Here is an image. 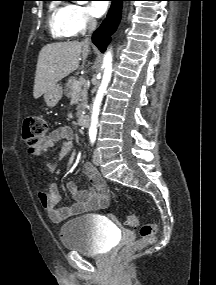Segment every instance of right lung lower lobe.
Returning <instances> with one entry per match:
<instances>
[{
	"label": "right lung lower lobe",
	"instance_id": "right-lung-lower-lobe-1",
	"mask_svg": "<svg viewBox=\"0 0 216 285\" xmlns=\"http://www.w3.org/2000/svg\"><path fill=\"white\" fill-rule=\"evenodd\" d=\"M112 5L107 15V18L103 21L100 28L97 29L93 36L92 41L98 47L101 52L106 50L108 43L111 40V34L116 30L120 18L122 2L126 0H111Z\"/></svg>",
	"mask_w": 216,
	"mask_h": 285
}]
</instances>
